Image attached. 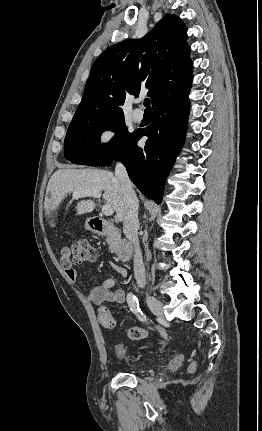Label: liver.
Returning a JSON list of instances; mask_svg holds the SVG:
<instances>
[{"instance_id":"6515ba94","label":"liver","mask_w":262,"mask_h":431,"mask_svg":"<svg viewBox=\"0 0 262 431\" xmlns=\"http://www.w3.org/2000/svg\"><path fill=\"white\" fill-rule=\"evenodd\" d=\"M98 190L103 193V200L116 212L118 220H123L125 197L119 181L112 172L102 169H58L50 178L47 192L51 194L44 202L45 214L51 218L61 202L71 192ZM95 208L93 200H83L77 203V214L92 212ZM52 227L53 220L49 222Z\"/></svg>"}]
</instances>
